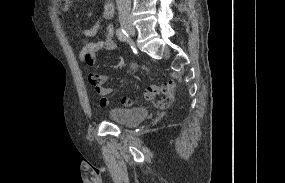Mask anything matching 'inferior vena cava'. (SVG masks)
<instances>
[{
	"mask_svg": "<svg viewBox=\"0 0 285 183\" xmlns=\"http://www.w3.org/2000/svg\"><path fill=\"white\" fill-rule=\"evenodd\" d=\"M119 18L129 17L131 11V0H116Z\"/></svg>",
	"mask_w": 285,
	"mask_h": 183,
	"instance_id": "1",
	"label": "inferior vena cava"
}]
</instances>
